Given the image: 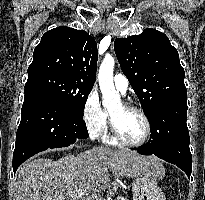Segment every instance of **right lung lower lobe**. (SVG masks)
Returning <instances> with one entry per match:
<instances>
[{
    "mask_svg": "<svg viewBox=\"0 0 205 200\" xmlns=\"http://www.w3.org/2000/svg\"><path fill=\"white\" fill-rule=\"evenodd\" d=\"M87 137L82 116L45 92L26 90L16 133L13 171L15 173L25 160L36 153L48 148L66 147Z\"/></svg>",
    "mask_w": 205,
    "mask_h": 200,
    "instance_id": "right-lung-lower-lobe-1",
    "label": "right lung lower lobe"
}]
</instances>
